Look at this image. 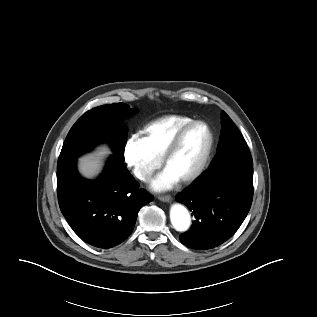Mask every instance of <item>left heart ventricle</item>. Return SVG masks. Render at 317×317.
I'll return each mask as SVG.
<instances>
[{"label": "left heart ventricle", "mask_w": 317, "mask_h": 317, "mask_svg": "<svg viewBox=\"0 0 317 317\" xmlns=\"http://www.w3.org/2000/svg\"><path fill=\"white\" fill-rule=\"evenodd\" d=\"M208 143V134L202 125L193 127L184 137L167 168L179 179L190 174L199 164Z\"/></svg>", "instance_id": "obj_1"}]
</instances>
